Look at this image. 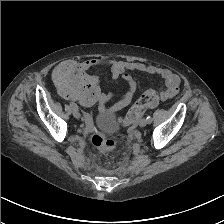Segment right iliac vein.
<instances>
[{
  "label": "right iliac vein",
  "mask_w": 224,
  "mask_h": 224,
  "mask_svg": "<svg viewBox=\"0 0 224 224\" xmlns=\"http://www.w3.org/2000/svg\"><path fill=\"white\" fill-rule=\"evenodd\" d=\"M72 113H73V116H74L76 119H79L80 116H81V114H80V112H79L78 110L73 109Z\"/></svg>",
  "instance_id": "right-iliac-vein-1"
}]
</instances>
